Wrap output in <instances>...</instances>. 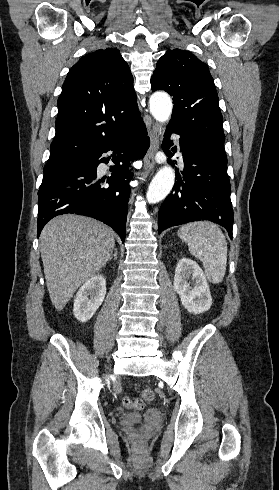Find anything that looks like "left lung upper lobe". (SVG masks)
I'll return each instance as SVG.
<instances>
[{
  "instance_id": "1",
  "label": "left lung upper lobe",
  "mask_w": 279,
  "mask_h": 490,
  "mask_svg": "<svg viewBox=\"0 0 279 490\" xmlns=\"http://www.w3.org/2000/svg\"><path fill=\"white\" fill-rule=\"evenodd\" d=\"M152 90L173 96L169 124L224 144L222 114L212 76L206 64L191 52L168 50L157 62L151 78Z\"/></svg>"
}]
</instances>
